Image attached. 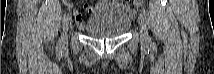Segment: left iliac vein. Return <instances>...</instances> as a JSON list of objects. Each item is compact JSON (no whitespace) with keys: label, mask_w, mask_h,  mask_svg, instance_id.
I'll use <instances>...</instances> for the list:
<instances>
[{"label":"left iliac vein","mask_w":214,"mask_h":74,"mask_svg":"<svg viewBox=\"0 0 214 74\" xmlns=\"http://www.w3.org/2000/svg\"><path fill=\"white\" fill-rule=\"evenodd\" d=\"M138 22H139V25H140L142 43L147 44L148 41H149V37H148L147 26H146V23H145V17L143 16V14L139 15Z\"/></svg>","instance_id":"left-iliac-vein-1"}]
</instances>
